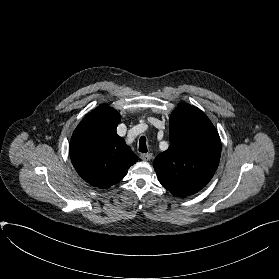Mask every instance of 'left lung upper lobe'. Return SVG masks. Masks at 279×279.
<instances>
[{
    "instance_id": "1",
    "label": "left lung upper lobe",
    "mask_w": 279,
    "mask_h": 279,
    "mask_svg": "<svg viewBox=\"0 0 279 279\" xmlns=\"http://www.w3.org/2000/svg\"><path fill=\"white\" fill-rule=\"evenodd\" d=\"M220 155V137L211 121L200 109L185 104L170 116V147L155 158L154 169L174 196H189L208 184Z\"/></svg>"
}]
</instances>
